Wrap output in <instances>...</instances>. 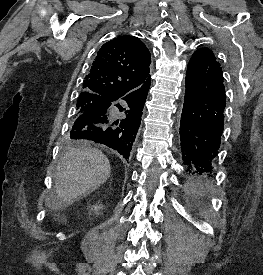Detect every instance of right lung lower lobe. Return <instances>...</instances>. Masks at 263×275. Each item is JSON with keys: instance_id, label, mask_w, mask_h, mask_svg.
I'll list each match as a JSON object with an SVG mask.
<instances>
[{"instance_id": "obj_1", "label": "right lung lower lobe", "mask_w": 263, "mask_h": 275, "mask_svg": "<svg viewBox=\"0 0 263 275\" xmlns=\"http://www.w3.org/2000/svg\"><path fill=\"white\" fill-rule=\"evenodd\" d=\"M150 83L151 81L131 95H118L106 100L105 109L77 115L69 138L94 141L118 151L128 159L141 123L142 108ZM119 98L125 101L127 106L124 108L120 104L116 105L121 112L125 113V116L123 119L115 120L110 115L109 107Z\"/></svg>"}]
</instances>
